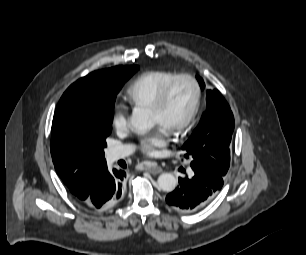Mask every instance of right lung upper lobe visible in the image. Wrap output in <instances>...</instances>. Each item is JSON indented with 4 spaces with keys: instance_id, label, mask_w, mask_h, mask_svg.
<instances>
[{
    "instance_id": "1",
    "label": "right lung upper lobe",
    "mask_w": 306,
    "mask_h": 255,
    "mask_svg": "<svg viewBox=\"0 0 306 255\" xmlns=\"http://www.w3.org/2000/svg\"><path fill=\"white\" fill-rule=\"evenodd\" d=\"M124 66H116L110 69H104L94 71L87 76L79 79L73 83L61 97L52 124V131L57 126L60 117V108L63 102L69 98H94L101 92L106 91L112 86H116L120 83V70ZM54 143L51 140V147ZM65 184L68 186L70 181L63 179Z\"/></svg>"
}]
</instances>
